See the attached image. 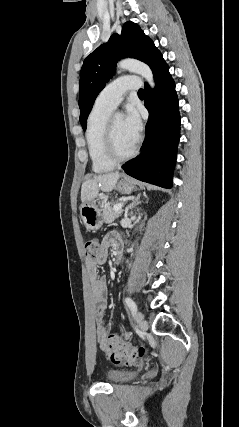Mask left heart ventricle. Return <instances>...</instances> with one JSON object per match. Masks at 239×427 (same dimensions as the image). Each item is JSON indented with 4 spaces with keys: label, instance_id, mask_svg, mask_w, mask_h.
Masks as SVG:
<instances>
[{
    "label": "left heart ventricle",
    "instance_id": "left-heart-ventricle-1",
    "mask_svg": "<svg viewBox=\"0 0 239 427\" xmlns=\"http://www.w3.org/2000/svg\"><path fill=\"white\" fill-rule=\"evenodd\" d=\"M113 134L115 147L119 154H127L133 149L136 142H134L126 132L123 124V118L121 116L114 117Z\"/></svg>",
    "mask_w": 239,
    "mask_h": 427
}]
</instances>
